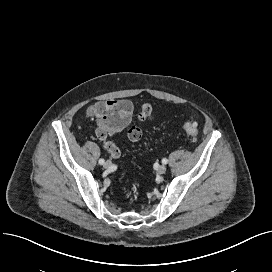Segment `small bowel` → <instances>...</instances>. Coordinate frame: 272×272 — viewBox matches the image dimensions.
Returning a JSON list of instances; mask_svg holds the SVG:
<instances>
[{
  "label": "small bowel",
  "instance_id": "c3829d8e",
  "mask_svg": "<svg viewBox=\"0 0 272 272\" xmlns=\"http://www.w3.org/2000/svg\"><path fill=\"white\" fill-rule=\"evenodd\" d=\"M107 105L116 107L117 109H119L121 111L122 114L127 115L128 116V121L126 122V124L129 122L130 117H131L132 112H133V104L128 99L108 100V101H105V102H96V103L92 104L89 107V112L92 115H97L98 114L97 110L100 107L107 106ZM153 118H154V112H153L152 106L150 104H148V103L144 104L141 107V111H140V113L138 115V119L140 121H142V122L143 121L149 122ZM100 139H101V141L103 143L104 149L110 154V156L112 158L118 159V158L121 157V155H122L121 149L115 143L108 140L107 135L105 137H103V138H100ZM129 139L132 142H137V141L140 140V139H133V138H130V137H129Z\"/></svg>",
  "mask_w": 272,
  "mask_h": 272
}]
</instances>
